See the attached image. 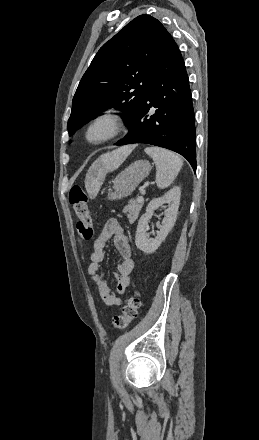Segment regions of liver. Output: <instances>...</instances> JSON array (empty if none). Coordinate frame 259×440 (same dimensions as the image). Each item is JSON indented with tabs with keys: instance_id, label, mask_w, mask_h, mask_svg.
Instances as JSON below:
<instances>
[{
	"instance_id": "obj_1",
	"label": "liver",
	"mask_w": 259,
	"mask_h": 440,
	"mask_svg": "<svg viewBox=\"0 0 259 440\" xmlns=\"http://www.w3.org/2000/svg\"><path fill=\"white\" fill-rule=\"evenodd\" d=\"M134 147L133 145L120 147L96 160L87 174L88 178L89 173L92 172L91 177L93 179V187L86 186L87 191L95 196L105 179L106 173L116 170L130 155Z\"/></svg>"
}]
</instances>
